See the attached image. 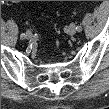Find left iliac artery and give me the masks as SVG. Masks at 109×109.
Masks as SVG:
<instances>
[{"label": "left iliac artery", "mask_w": 109, "mask_h": 109, "mask_svg": "<svg viewBox=\"0 0 109 109\" xmlns=\"http://www.w3.org/2000/svg\"><path fill=\"white\" fill-rule=\"evenodd\" d=\"M76 29H77V31H81L82 30V26H80V25H78L77 27H76Z\"/></svg>", "instance_id": "1"}]
</instances>
